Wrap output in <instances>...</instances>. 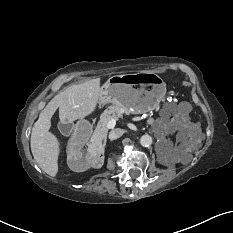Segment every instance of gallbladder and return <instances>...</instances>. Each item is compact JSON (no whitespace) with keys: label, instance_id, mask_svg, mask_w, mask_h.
<instances>
[{"label":"gallbladder","instance_id":"obj_1","mask_svg":"<svg viewBox=\"0 0 233 233\" xmlns=\"http://www.w3.org/2000/svg\"><path fill=\"white\" fill-rule=\"evenodd\" d=\"M59 130L60 132L65 135V136H69L73 130V125L70 123H63V122H59L58 124Z\"/></svg>","mask_w":233,"mask_h":233}]
</instances>
